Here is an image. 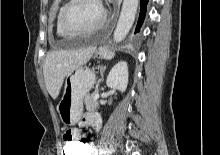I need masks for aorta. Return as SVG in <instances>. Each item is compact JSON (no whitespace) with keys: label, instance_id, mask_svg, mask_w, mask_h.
<instances>
[{"label":"aorta","instance_id":"aorta-1","mask_svg":"<svg viewBox=\"0 0 220 155\" xmlns=\"http://www.w3.org/2000/svg\"><path fill=\"white\" fill-rule=\"evenodd\" d=\"M138 5L139 0H123L120 17L113 35L116 43L124 40L129 33L135 20Z\"/></svg>","mask_w":220,"mask_h":155}]
</instances>
